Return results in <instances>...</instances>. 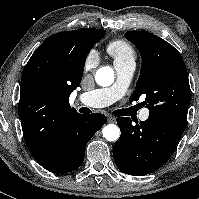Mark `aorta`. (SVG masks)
Here are the masks:
<instances>
[{
	"label": "aorta",
	"mask_w": 199,
	"mask_h": 199,
	"mask_svg": "<svg viewBox=\"0 0 199 199\" xmlns=\"http://www.w3.org/2000/svg\"><path fill=\"white\" fill-rule=\"evenodd\" d=\"M98 85L110 86L114 81V71L112 68L105 66L100 68L95 75ZM103 137L108 141H116L120 136V130L117 125L108 124L102 130Z\"/></svg>",
	"instance_id": "762f6f07"
}]
</instances>
